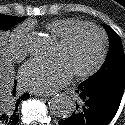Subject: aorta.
<instances>
[{"label": "aorta", "mask_w": 125, "mask_h": 125, "mask_svg": "<svg viewBox=\"0 0 125 125\" xmlns=\"http://www.w3.org/2000/svg\"><path fill=\"white\" fill-rule=\"evenodd\" d=\"M53 43V40L49 36L37 34L32 42L34 56L40 59H48L51 57L54 49ZM49 108L54 115L67 118L73 113L75 103L70 96L58 94L49 101Z\"/></svg>", "instance_id": "1"}]
</instances>
